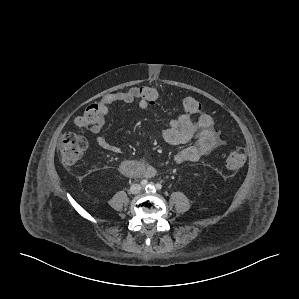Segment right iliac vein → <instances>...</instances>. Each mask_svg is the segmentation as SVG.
Listing matches in <instances>:
<instances>
[{
    "instance_id": "obj_1",
    "label": "right iliac vein",
    "mask_w": 299,
    "mask_h": 299,
    "mask_svg": "<svg viewBox=\"0 0 299 299\" xmlns=\"http://www.w3.org/2000/svg\"><path fill=\"white\" fill-rule=\"evenodd\" d=\"M140 191H141V186L138 184H135V185L131 186V188H130V192L132 194H138Z\"/></svg>"
}]
</instances>
